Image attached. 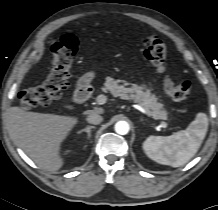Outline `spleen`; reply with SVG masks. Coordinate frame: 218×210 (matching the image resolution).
Here are the masks:
<instances>
[{
	"instance_id": "1",
	"label": "spleen",
	"mask_w": 218,
	"mask_h": 210,
	"mask_svg": "<svg viewBox=\"0 0 218 210\" xmlns=\"http://www.w3.org/2000/svg\"><path fill=\"white\" fill-rule=\"evenodd\" d=\"M208 129L206 113L199 112L188 128L170 136H150L143 142L145 154L153 161L172 167L186 164L198 151Z\"/></svg>"
}]
</instances>
